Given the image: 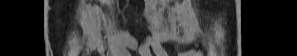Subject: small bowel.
Returning <instances> with one entry per match:
<instances>
[{
	"instance_id": "obj_1",
	"label": "small bowel",
	"mask_w": 297,
	"mask_h": 56,
	"mask_svg": "<svg viewBox=\"0 0 297 56\" xmlns=\"http://www.w3.org/2000/svg\"><path fill=\"white\" fill-rule=\"evenodd\" d=\"M129 45L131 48L136 50L140 56H150V52L148 49L149 45L152 46V49L154 50V52L159 53L162 56L165 55V52H164L163 48L161 47V45L157 42L150 40V39L145 40L142 44H138L137 42L131 40ZM113 51L114 50L111 47H105L103 49V52L105 54L112 53ZM197 55H198L197 50H192V51H189V52L183 54V56H197Z\"/></svg>"
}]
</instances>
